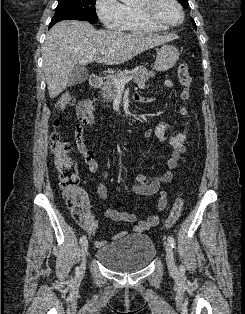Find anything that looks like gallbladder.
Returning a JSON list of instances; mask_svg holds the SVG:
<instances>
[{
  "instance_id": "obj_1",
  "label": "gallbladder",
  "mask_w": 245,
  "mask_h": 314,
  "mask_svg": "<svg viewBox=\"0 0 245 314\" xmlns=\"http://www.w3.org/2000/svg\"><path fill=\"white\" fill-rule=\"evenodd\" d=\"M89 72L85 67L76 66L69 74L67 85L74 86L83 83L88 79Z\"/></svg>"
}]
</instances>
